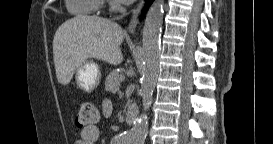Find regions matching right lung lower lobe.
I'll use <instances>...</instances> for the list:
<instances>
[{
  "mask_svg": "<svg viewBox=\"0 0 273 144\" xmlns=\"http://www.w3.org/2000/svg\"><path fill=\"white\" fill-rule=\"evenodd\" d=\"M148 3L152 2L153 0H146Z\"/></svg>",
  "mask_w": 273,
  "mask_h": 144,
  "instance_id": "98d812e1",
  "label": "right lung lower lobe"
}]
</instances>
